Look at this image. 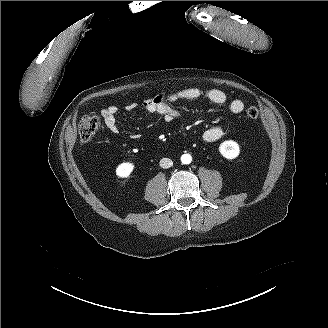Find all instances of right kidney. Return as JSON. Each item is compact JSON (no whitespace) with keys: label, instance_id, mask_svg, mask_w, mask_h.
I'll use <instances>...</instances> for the list:
<instances>
[{"label":"right kidney","instance_id":"ca27d5eb","mask_svg":"<svg viewBox=\"0 0 328 328\" xmlns=\"http://www.w3.org/2000/svg\"><path fill=\"white\" fill-rule=\"evenodd\" d=\"M135 169V164L124 162L117 166L116 175L118 178H129Z\"/></svg>","mask_w":328,"mask_h":328}]
</instances>
